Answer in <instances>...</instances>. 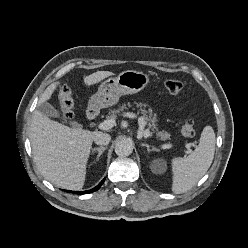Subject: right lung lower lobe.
<instances>
[{
    "label": "right lung lower lobe",
    "instance_id": "98d812e1",
    "mask_svg": "<svg viewBox=\"0 0 248 248\" xmlns=\"http://www.w3.org/2000/svg\"><path fill=\"white\" fill-rule=\"evenodd\" d=\"M104 180L105 179H103L95 188H93V189H91V190H88V191H76V192H73V191H70L71 193H76V194H88V193H92V192H94V191H97L100 187H101V185L104 183Z\"/></svg>",
    "mask_w": 248,
    "mask_h": 248
}]
</instances>
